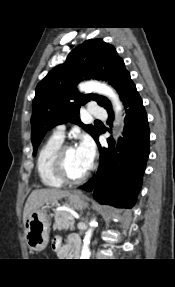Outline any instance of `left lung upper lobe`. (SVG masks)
<instances>
[{
  "label": "left lung upper lobe",
  "instance_id": "5c2ea615",
  "mask_svg": "<svg viewBox=\"0 0 175 287\" xmlns=\"http://www.w3.org/2000/svg\"><path fill=\"white\" fill-rule=\"evenodd\" d=\"M83 78L108 81L122 101L134 84L114 46L102 39L83 42L70 52L65 63L52 69L36 87L31 118L34 155L49 129L69 121L83 125L78 117L80 104L94 100L107 112L112 111L107 98L97 94L82 95L77 91L76 85ZM83 129L94 139L100 133L92 125H83Z\"/></svg>",
  "mask_w": 175,
  "mask_h": 287
}]
</instances>
